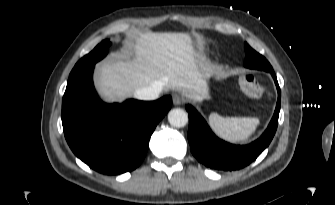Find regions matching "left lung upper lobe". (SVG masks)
Segmentation results:
<instances>
[{
  "instance_id": "5c2ea615",
  "label": "left lung upper lobe",
  "mask_w": 335,
  "mask_h": 205,
  "mask_svg": "<svg viewBox=\"0 0 335 205\" xmlns=\"http://www.w3.org/2000/svg\"><path fill=\"white\" fill-rule=\"evenodd\" d=\"M245 52H246V59L244 65L247 68L263 70L267 72L273 71L272 66L265 59V57H263L255 50H253L247 43H245Z\"/></svg>"
}]
</instances>
